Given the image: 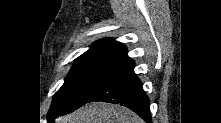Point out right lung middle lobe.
<instances>
[{
  "instance_id": "right-lung-middle-lobe-1",
  "label": "right lung middle lobe",
  "mask_w": 221,
  "mask_h": 123,
  "mask_svg": "<svg viewBox=\"0 0 221 123\" xmlns=\"http://www.w3.org/2000/svg\"><path fill=\"white\" fill-rule=\"evenodd\" d=\"M130 60L111 52H85L75 60L64 84L55 93L49 112L66 114L86 104L95 88Z\"/></svg>"
}]
</instances>
